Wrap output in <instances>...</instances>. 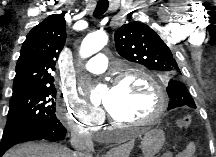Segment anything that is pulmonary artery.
I'll use <instances>...</instances> for the list:
<instances>
[{"mask_svg":"<svg viewBox=\"0 0 216 157\" xmlns=\"http://www.w3.org/2000/svg\"><path fill=\"white\" fill-rule=\"evenodd\" d=\"M107 65L108 57L103 53H99L86 61L83 64V68L88 72L99 74L107 69Z\"/></svg>","mask_w":216,"mask_h":157,"instance_id":"e3ab8cb5","label":"pulmonary artery"}]
</instances>
